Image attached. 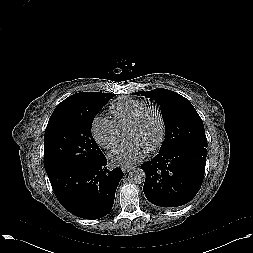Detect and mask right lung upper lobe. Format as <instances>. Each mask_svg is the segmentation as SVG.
Listing matches in <instances>:
<instances>
[{
  "mask_svg": "<svg viewBox=\"0 0 253 253\" xmlns=\"http://www.w3.org/2000/svg\"><path fill=\"white\" fill-rule=\"evenodd\" d=\"M97 92H81V93H76L65 100H63L58 106H64V105H69L71 103L75 102H84L86 101L89 97L95 95Z\"/></svg>",
  "mask_w": 253,
  "mask_h": 253,
  "instance_id": "cb5924a9",
  "label": "right lung upper lobe"
}]
</instances>
